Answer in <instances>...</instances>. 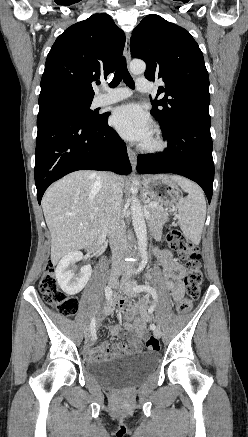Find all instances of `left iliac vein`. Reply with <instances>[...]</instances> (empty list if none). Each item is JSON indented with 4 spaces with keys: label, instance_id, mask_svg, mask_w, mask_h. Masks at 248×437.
Segmentation results:
<instances>
[{
    "label": "left iliac vein",
    "instance_id": "1",
    "mask_svg": "<svg viewBox=\"0 0 248 437\" xmlns=\"http://www.w3.org/2000/svg\"><path fill=\"white\" fill-rule=\"evenodd\" d=\"M135 285L130 281H123L120 283L119 288L128 296L135 297L137 293L133 290ZM153 334L156 338L161 337V330L156 328L153 330Z\"/></svg>",
    "mask_w": 248,
    "mask_h": 437
}]
</instances>
